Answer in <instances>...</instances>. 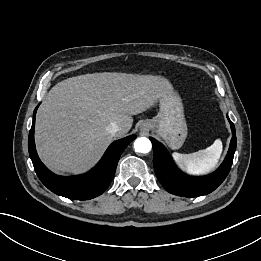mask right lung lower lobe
Returning a JSON list of instances; mask_svg holds the SVG:
<instances>
[{
	"instance_id": "98d812e1",
	"label": "right lung lower lobe",
	"mask_w": 261,
	"mask_h": 261,
	"mask_svg": "<svg viewBox=\"0 0 261 261\" xmlns=\"http://www.w3.org/2000/svg\"><path fill=\"white\" fill-rule=\"evenodd\" d=\"M38 106L33 113V122L28 138V150L35 172L41 182L55 194L75 200H87L101 195L114 177L122 152L136 136L131 135L113 142L99 163L90 172L73 177L57 176L44 166L36 152L34 126Z\"/></svg>"
}]
</instances>
